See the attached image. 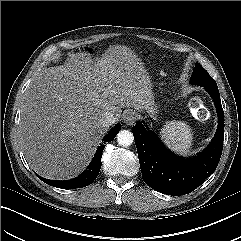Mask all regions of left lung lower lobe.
<instances>
[{
    "instance_id": "0a47b994",
    "label": "left lung lower lobe",
    "mask_w": 241,
    "mask_h": 241,
    "mask_svg": "<svg viewBox=\"0 0 241 241\" xmlns=\"http://www.w3.org/2000/svg\"><path fill=\"white\" fill-rule=\"evenodd\" d=\"M218 113V128L212 142L199 155L184 159L171 153L146 125L137 122L132 132L144 182L152 189L173 196L199 187L216 169L223 148L224 112L218 87H205Z\"/></svg>"
}]
</instances>
